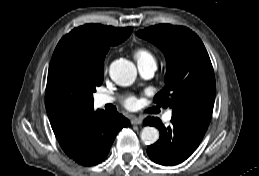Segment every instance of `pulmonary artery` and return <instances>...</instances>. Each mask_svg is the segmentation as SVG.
<instances>
[{
    "label": "pulmonary artery",
    "instance_id": "1",
    "mask_svg": "<svg viewBox=\"0 0 259 176\" xmlns=\"http://www.w3.org/2000/svg\"><path fill=\"white\" fill-rule=\"evenodd\" d=\"M156 63L155 62H149V63H145V64H138V69L140 74L144 77V78H151L155 71H156ZM114 101L113 97L109 96V95H98L96 98V102L99 106H103L109 103H112ZM172 118V113L171 112H167L164 117L163 120L165 122H169Z\"/></svg>",
    "mask_w": 259,
    "mask_h": 176
}]
</instances>
